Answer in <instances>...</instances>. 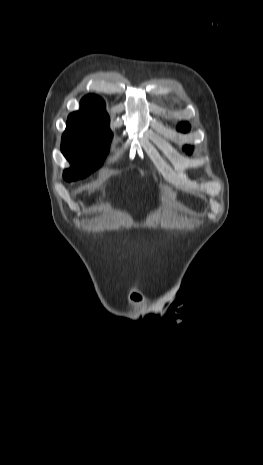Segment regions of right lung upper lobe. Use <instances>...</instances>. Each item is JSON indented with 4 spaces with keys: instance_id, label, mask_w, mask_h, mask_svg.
<instances>
[{
    "instance_id": "right-lung-upper-lobe-1",
    "label": "right lung upper lobe",
    "mask_w": 263,
    "mask_h": 465,
    "mask_svg": "<svg viewBox=\"0 0 263 465\" xmlns=\"http://www.w3.org/2000/svg\"><path fill=\"white\" fill-rule=\"evenodd\" d=\"M70 118H83L109 124V117L105 111L104 101L95 95H87L81 100L79 111L69 115Z\"/></svg>"
}]
</instances>
